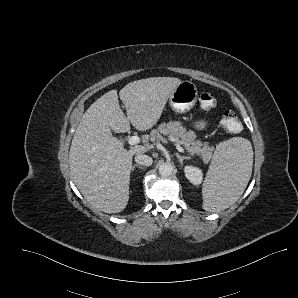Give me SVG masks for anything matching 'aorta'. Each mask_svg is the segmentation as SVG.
I'll use <instances>...</instances> for the list:
<instances>
[{
    "mask_svg": "<svg viewBox=\"0 0 298 298\" xmlns=\"http://www.w3.org/2000/svg\"><path fill=\"white\" fill-rule=\"evenodd\" d=\"M158 172L161 176H170L174 172V166L169 162H164L159 166Z\"/></svg>",
    "mask_w": 298,
    "mask_h": 298,
    "instance_id": "obj_1",
    "label": "aorta"
}]
</instances>
